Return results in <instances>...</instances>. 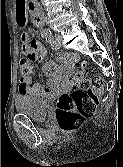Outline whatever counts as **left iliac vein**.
<instances>
[{"instance_id":"obj_1","label":"left iliac vein","mask_w":123,"mask_h":167,"mask_svg":"<svg viewBox=\"0 0 123 167\" xmlns=\"http://www.w3.org/2000/svg\"><path fill=\"white\" fill-rule=\"evenodd\" d=\"M55 49H59L62 43V36L60 34H55Z\"/></svg>"}]
</instances>
